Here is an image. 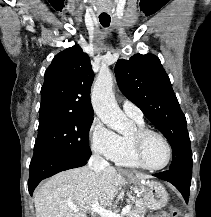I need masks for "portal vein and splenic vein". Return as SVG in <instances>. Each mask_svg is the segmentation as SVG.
<instances>
[{
    "label": "portal vein and splenic vein",
    "instance_id": "obj_1",
    "mask_svg": "<svg viewBox=\"0 0 211 217\" xmlns=\"http://www.w3.org/2000/svg\"><path fill=\"white\" fill-rule=\"evenodd\" d=\"M71 209L77 211L78 208L76 206L71 205L70 206ZM83 210H91V212H95L97 214H99L101 217H122L123 215L127 214L130 210H131V205L128 204L126 205L120 214H113L109 211H107L106 209L102 208L101 206H99L98 202H93L90 206H86L83 207Z\"/></svg>",
    "mask_w": 211,
    "mask_h": 217
}]
</instances>
